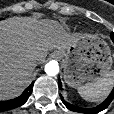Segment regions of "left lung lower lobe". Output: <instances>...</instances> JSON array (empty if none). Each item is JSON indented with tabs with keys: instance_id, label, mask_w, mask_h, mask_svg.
<instances>
[{
	"instance_id": "obj_1",
	"label": "left lung lower lobe",
	"mask_w": 114,
	"mask_h": 114,
	"mask_svg": "<svg viewBox=\"0 0 114 114\" xmlns=\"http://www.w3.org/2000/svg\"><path fill=\"white\" fill-rule=\"evenodd\" d=\"M111 39L114 42V33H111ZM58 85H59V87L62 86L60 79L58 80ZM113 98H114V88H113L112 92L110 93V95L108 96V98L104 102H102L101 104H99L98 106H96L94 108H79V107H75V106L65 102L64 100H62V101L69 110L76 111V112H82V113H86V114H94V113H97V112H100V111L106 109L109 106V104L111 103V101L113 100Z\"/></svg>"
}]
</instances>
